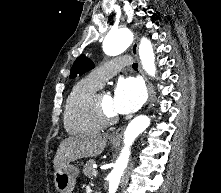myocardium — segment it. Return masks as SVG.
<instances>
[{
  "mask_svg": "<svg viewBox=\"0 0 221 193\" xmlns=\"http://www.w3.org/2000/svg\"><path fill=\"white\" fill-rule=\"evenodd\" d=\"M105 90L100 87L98 88L88 101L89 108L95 117L103 124L110 125L114 124L118 120L116 113L108 112L102 104V95Z\"/></svg>",
  "mask_w": 221,
  "mask_h": 193,
  "instance_id": "1",
  "label": "myocardium"
}]
</instances>
